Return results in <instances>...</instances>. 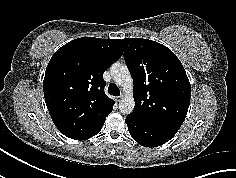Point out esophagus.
Wrapping results in <instances>:
<instances>
[{
  "instance_id": "34e87169",
  "label": "esophagus",
  "mask_w": 236,
  "mask_h": 178,
  "mask_svg": "<svg viewBox=\"0 0 236 178\" xmlns=\"http://www.w3.org/2000/svg\"><path fill=\"white\" fill-rule=\"evenodd\" d=\"M122 98H123L122 96H119V97L116 98V101L120 102Z\"/></svg>"
}]
</instances>
